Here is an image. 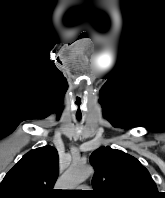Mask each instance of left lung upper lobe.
<instances>
[{
  "label": "left lung upper lobe",
  "mask_w": 165,
  "mask_h": 198,
  "mask_svg": "<svg viewBox=\"0 0 165 198\" xmlns=\"http://www.w3.org/2000/svg\"><path fill=\"white\" fill-rule=\"evenodd\" d=\"M95 174L93 192L97 198H159L160 192L147 169L133 156L109 146L90 157Z\"/></svg>",
  "instance_id": "obj_1"
}]
</instances>
